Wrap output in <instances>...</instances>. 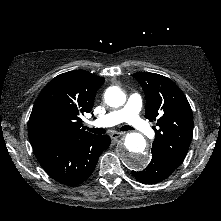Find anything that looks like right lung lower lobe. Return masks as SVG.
I'll use <instances>...</instances> for the list:
<instances>
[{"label": "right lung lower lobe", "mask_w": 221, "mask_h": 221, "mask_svg": "<svg viewBox=\"0 0 221 221\" xmlns=\"http://www.w3.org/2000/svg\"><path fill=\"white\" fill-rule=\"evenodd\" d=\"M110 142L107 135H92L75 141L37 145L33 150L53 179L65 185H78L92 174Z\"/></svg>", "instance_id": "right-lung-lower-lobe-1"}]
</instances>
